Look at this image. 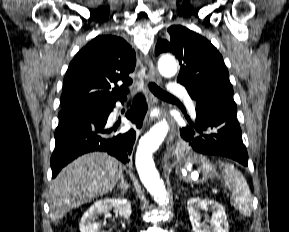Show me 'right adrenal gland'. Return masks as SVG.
<instances>
[{
	"label": "right adrenal gland",
	"instance_id": "1",
	"mask_svg": "<svg viewBox=\"0 0 289 232\" xmlns=\"http://www.w3.org/2000/svg\"><path fill=\"white\" fill-rule=\"evenodd\" d=\"M130 185L125 181L123 175L121 176L120 183L118 184L117 188L121 189L123 191H127L129 189Z\"/></svg>",
	"mask_w": 289,
	"mask_h": 232
}]
</instances>
